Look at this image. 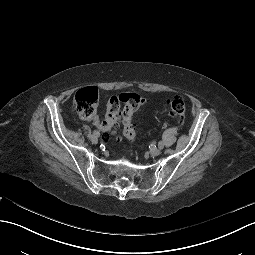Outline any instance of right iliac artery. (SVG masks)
<instances>
[{
  "label": "right iliac artery",
  "instance_id": "1",
  "mask_svg": "<svg viewBox=\"0 0 255 255\" xmlns=\"http://www.w3.org/2000/svg\"><path fill=\"white\" fill-rule=\"evenodd\" d=\"M93 134L96 135L97 137L100 135L99 131L97 130H94Z\"/></svg>",
  "mask_w": 255,
  "mask_h": 255
}]
</instances>
